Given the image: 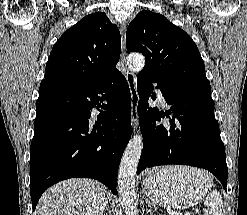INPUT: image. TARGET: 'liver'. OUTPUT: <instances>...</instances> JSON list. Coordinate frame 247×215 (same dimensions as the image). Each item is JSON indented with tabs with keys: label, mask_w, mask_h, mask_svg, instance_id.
<instances>
[{
	"label": "liver",
	"mask_w": 247,
	"mask_h": 215,
	"mask_svg": "<svg viewBox=\"0 0 247 215\" xmlns=\"http://www.w3.org/2000/svg\"><path fill=\"white\" fill-rule=\"evenodd\" d=\"M106 204L99 182L75 178L51 187L39 200L35 215H103Z\"/></svg>",
	"instance_id": "obj_1"
}]
</instances>
